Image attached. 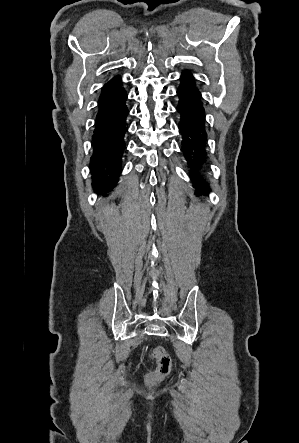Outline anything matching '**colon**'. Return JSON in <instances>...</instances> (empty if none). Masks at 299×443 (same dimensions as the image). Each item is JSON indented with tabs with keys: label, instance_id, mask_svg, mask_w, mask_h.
<instances>
[{
	"label": "colon",
	"instance_id": "5ec220e1",
	"mask_svg": "<svg viewBox=\"0 0 299 443\" xmlns=\"http://www.w3.org/2000/svg\"><path fill=\"white\" fill-rule=\"evenodd\" d=\"M151 358L157 363L155 370L145 376V381L150 384H156L166 378L171 371V358L163 347H156L151 352Z\"/></svg>",
	"mask_w": 299,
	"mask_h": 443
}]
</instances>
